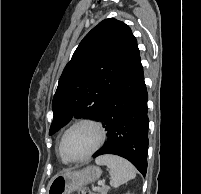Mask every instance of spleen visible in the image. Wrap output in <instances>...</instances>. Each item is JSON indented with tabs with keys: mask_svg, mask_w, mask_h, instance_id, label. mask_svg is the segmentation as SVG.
I'll list each match as a JSON object with an SVG mask.
<instances>
[{
	"mask_svg": "<svg viewBox=\"0 0 201 194\" xmlns=\"http://www.w3.org/2000/svg\"><path fill=\"white\" fill-rule=\"evenodd\" d=\"M95 162L97 165L107 166L111 176L110 185L112 187H119L136 177V170L133 165L121 157L115 155H103L96 158Z\"/></svg>",
	"mask_w": 201,
	"mask_h": 194,
	"instance_id": "obj_1",
	"label": "spleen"
}]
</instances>
